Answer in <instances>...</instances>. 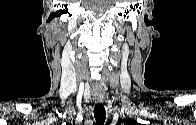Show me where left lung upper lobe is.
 <instances>
[{"instance_id": "left-lung-upper-lobe-1", "label": "left lung upper lobe", "mask_w": 196, "mask_h": 125, "mask_svg": "<svg viewBox=\"0 0 196 125\" xmlns=\"http://www.w3.org/2000/svg\"><path fill=\"white\" fill-rule=\"evenodd\" d=\"M135 121L134 120H129L128 122H127V124H132V123H134Z\"/></svg>"}]
</instances>
